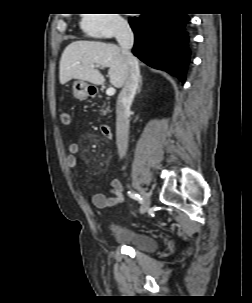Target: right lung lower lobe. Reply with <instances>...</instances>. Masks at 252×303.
Instances as JSON below:
<instances>
[{"instance_id": "1", "label": "right lung lower lobe", "mask_w": 252, "mask_h": 303, "mask_svg": "<svg viewBox=\"0 0 252 303\" xmlns=\"http://www.w3.org/2000/svg\"><path fill=\"white\" fill-rule=\"evenodd\" d=\"M189 18L178 13H147L129 19L135 34L133 53L149 66L185 80L190 59Z\"/></svg>"}]
</instances>
